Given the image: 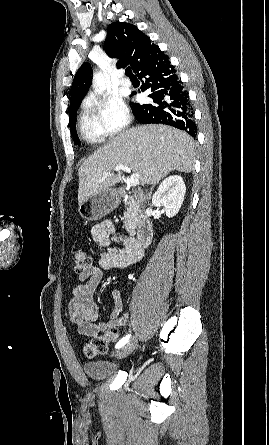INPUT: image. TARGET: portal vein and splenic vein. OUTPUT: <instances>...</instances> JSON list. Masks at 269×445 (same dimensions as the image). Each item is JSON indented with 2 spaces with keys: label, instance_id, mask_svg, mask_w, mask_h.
Returning a JSON list of instances; mask_svg holds the SVG:
<instances>
[{
  "label": "portal vein and splenic vein",
  "instance_id": "portal-vein-and-splenic-vein-1",
  "mask_svg": "<svg viewBox=\"0 0 269 445\" xmlns=\"http://www.w3.org/2000/svg\"><path fill=\"white\" fill-rule=\"evenodd\" d=\"M113 170L116 172L122 170L124 172L131 173V168L126 165H118V166L114 167ZM107 175H110V173H107ZM139 179H140V177L137 173H132L130 176V179H129L130 186H132V187L137 186L139 184Z\"/></svg>",
  "mask_w": 269,
  "mask_h": 445
}]
</instances>
